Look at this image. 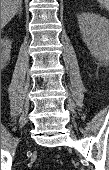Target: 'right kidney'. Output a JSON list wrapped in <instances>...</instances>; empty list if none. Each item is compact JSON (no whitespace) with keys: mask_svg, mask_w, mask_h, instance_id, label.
Returning <instances> with one entry per match:
<instances>
[{"mask_svg":"<svg viewBox=\"0 0 109 170\" xmlns=\"http://www.w3.org/2000/svg\"><path fill=\"white\" fill-rule=\"evenodd\" d=\"M11 41L7 38L1 40V66L5 67L10 59Z\"/></svg>","mask_w":109,"mask_h":170,"instance_id":"obj_1","label":"right kidney"}]
</instances>
